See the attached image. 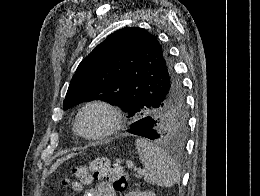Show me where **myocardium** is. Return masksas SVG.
Here are the masks:
<instances>
[{
	"label": "myocardium",
	"mask_w": 260,
	"mask_h": 196,
	"mask_svg": "<svg viewBox=\"0 0 260 196\" xmlns=\"http://www.w3.org/2000/svg\"><path fill=\"white\" fill-rule=\"evenodd\" d=\"M92 106H102L106 108L113 116L112 125L105 131L96 135L85 134L79 127V122L82 114ZM122 126H123V115L120 109L109 101L102 100V99H95L85 103L76 113L75 122H74V131L80 138L84 139L85 141L98 143L110 138L112 135L117 133L122 128Z\"/></svg>",
	"instance_id": "myocardium-1"
}]
</instances>
